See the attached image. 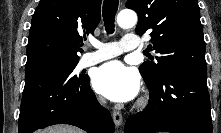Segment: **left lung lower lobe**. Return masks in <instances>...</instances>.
<instances>
[{
  "mask_svg": "<svg viewBox=\"0 0 221 133\" xmlns=\"http://www.w3.org/2000/svg\"><path fill=\"white\" fill-rule=\"evenodd\" d=\"M146 84L150 101L128 117L125 133H212L206 70L176 67Z\"/></svg>",
  "mask_w": 221,
  "mask_h": 133,
  "instance_id": "1",
  "label": "left lung lower lobe"
}]
</instances>
